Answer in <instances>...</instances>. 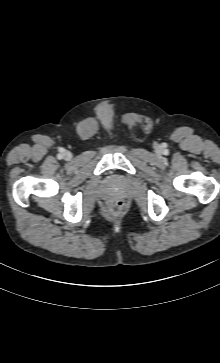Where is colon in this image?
<instances>
[{"label":"colon","instance_id":"colon-1","mask_svg":"<svg viewBox=\"0 0 220 363\" xmlns=\"http://www.w3.org/2000/svg\"><path fill=\"white\" fill-rule=\"evenodd\" d=\"M123 207L124 203L121 200H111L107 203V211L114 216L119 215Z\"/></svg>","mask_w":220,"mask_h":363}]
</instances>
